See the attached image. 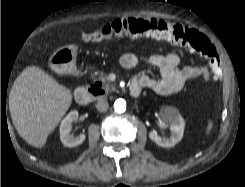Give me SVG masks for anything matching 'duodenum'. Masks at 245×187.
Listing matches in <instances>:
<instances>
[{
	"instance_id": "duodenum-1",
	"label": "duodenum",
	"mask_w": 245,
	"mask_h": 187,
	"mask_svg": "<svg viewBox=\"0 0 245 187\" xmlns=\"http://www.w3.org/2000/svg\"><path fill=\"white\" fill-rule=\"evenodd\" d=\"M100 87H79L75 90L74 98L78 104H87L93 96H99L101 94ZM130 92L133 96H137L140 93V89L137 86H130Z\"/></svg>"
}]
</instances>
